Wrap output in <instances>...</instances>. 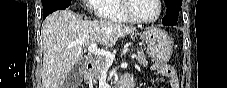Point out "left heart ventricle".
Here are the masks:
<instances>
[{"label": "left heart ventricle", "mask_w": 227, "mask_h": 88, "mask_svg": "<svg viewBox=\"0 0 227 88\" xmlns=\"http://www.w3.org/2000/svg\"><path fill=\"white\" fill-rule=\"evenodd\" d=\"M131 11L138 19H152L158 13V8L154 0H133Z\"/></svg>", "instance_id": "left-heart-ventricle-1"}]
</instances>
